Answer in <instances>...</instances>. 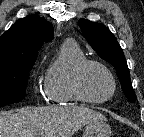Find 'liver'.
<instances>
[{
  "label": "liver",
  "instance_id": "1",
  "mask_svg": "<svg viewBox=\"0 0 144 137\" xmlns=\"http://www.w3.org/2000/svg\"><path fill=\"white\" fill-rule=\"evenodd\" d=\"M105 120L80 106L25 107L0 113V137H72L81 127Z\"/></svg>",
  "mask_w": 144,
  "mask_h": 137
}]
</instances>
